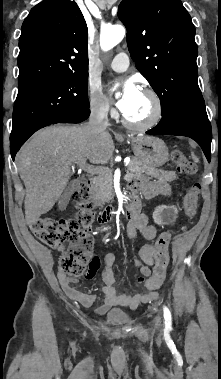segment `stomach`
<instances>
[{"instance_id":"obj_1","label":"stomach","mask_w":221,"mask_h":379,"mask_svg":"<svg viewBox=\"0 0 221 379\" xmlns=\"http://www.w3.org/2000/svg\"><path fill=\"white\" fill-rule=\"evenodd\" d=\"M133 152L137 159L152 167H160L169 159V152L163 140L145 135H131Z\"/></svg>"}]
</instances>
